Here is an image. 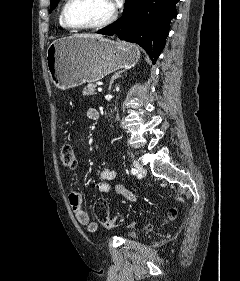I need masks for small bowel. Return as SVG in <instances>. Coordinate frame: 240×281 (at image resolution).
<instances>
[{
	"label": "small bowel",
	"instance_id": "small-bowel-1",
	"mask_svg": "<svg viewBox=\"0 0 240 281\" xmlns=\"http://www.w3.org/2000/svg\"><path fill=\"white\" fill-rule=\"evenodd\" d=\"M87 117L90 120H97L99 118V113L96 109L91 108L87 111ZM115 177L116 172L113 169H102L99 175V182L97 183L98 192L100 194H108L111 191L110 182L114 180ZM77 185L79 189L74 190L69 194L70 207L77 222L81 225L86 226L88 232L94 233L98 230V224L90 220V216L83 205V193L80 190L81 184L78 183ZM115 192L131 202H134L136 200V196L122 184H117L115 186Z\"/></svg>",
	"mask_w": 240,
	"mask_h": 281
}]
</instances>
